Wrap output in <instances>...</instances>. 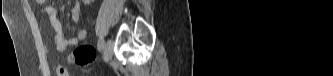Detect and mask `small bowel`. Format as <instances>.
Instances as JSON below:
<instances>
[{"label": "small bowel", "instance_id": "c3829d8e", "mask_svg": "<svg viewBox=\"0 0 333 76\" xmlns=\"http://www.w3.org/2000/svg\"><path fill=\"white\" fill-rule=\"evenodd\" d=\"M38 2L45 3L44 0H39ZM45 12L50 18L51 25L54 29V43H55V50L58 53H64L67 51V49L76 46L81 41L85 40L87 36V32L85 29H79L77 31L76 36L66 39L63 34V28L62 23L57 18V11L56 9L51 5H45L44 7ZM80 15H81V8H80V2L75 1L73 8L71 10V21L74 24H78L80 21ZM57 75L58 76H66L67 73L63 67H58L57 69Z\"/></svg>", "mask_w": 333, "mask_h": 76}]
</instances>
